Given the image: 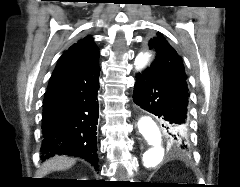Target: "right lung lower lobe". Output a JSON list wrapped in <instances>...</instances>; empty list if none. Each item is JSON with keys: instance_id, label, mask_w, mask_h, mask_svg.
Listing matches in <instances>:
<instances>
[{"instance_id": "obj_1", "label": "right lung lower lobe", "mask_w": 240, "mask_h": 187, "mask_svg": "<svg viewBox=\"0 0 240 187\" xmlns=\"http://www.w3.org/2000/svg\"><path fill=\"white\" fill-rule=\"evenodd\" d=\"M99 70L47 89L43 100L41 159L77 156L98 169L96 130Z\"/></svg>"}]
</instances>
